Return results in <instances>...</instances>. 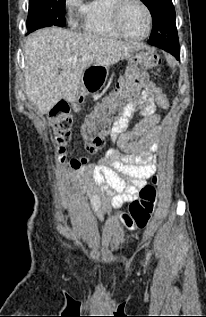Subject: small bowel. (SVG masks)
Masks as SVG:
<instances>
[{"mask_svg":"<svg viewBox=\"0 0 206 317\" xmlns=\"http://www.w3.org/2000/svg\"><path fill=\"white\" fill-rule=\"evenodd\" d=\"M156 106L167 109L168 100L159 87L148 82L112 128L110 137L119 150H108L98 163L85 166L77 174L80 191L88 195L101 221L109 212L105 194L111 196L109 203L112 208H121L137 198L139 190L145 187L146 180L155 172L161 120ZM135 112L143 118L128 130ZM122 176L132 182L128 183Z\"/></svg>","mask_w":206,"mask_h":317,"instance_id":"obj_1","label":"small bowel"}]
</instances>
